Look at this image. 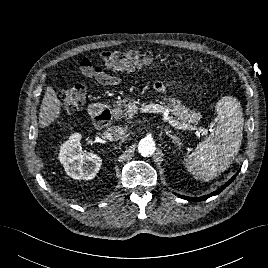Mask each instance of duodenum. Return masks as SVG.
Segmentation results:
<instances>
[{"label":"duodenum","instance_id":"1","mask_svg":"<svg viewBox=\"0 0 268 268\" xmlns=\"http://www.w3.org/2000/svg\"><path fill=\"white\" fill-rule=\"evenodd\" d=\"M91 112L98 126L106 127L112 122V113L102 102L93 103Z\"/></svg>","mask_w":268,"mask_h":268}]
</instances>
